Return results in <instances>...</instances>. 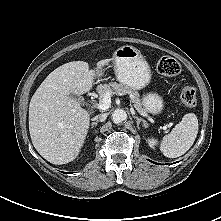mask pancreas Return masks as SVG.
Listing matches in <instances>:
<instances>
[{
  "mask_svg": "<svg viewBox=\"0 0 221 221\" xmlns=\"http://www.w3.org/2000/svg\"><path fill=\"white\" fill-rule=\"evenodd\" d=\"M97 92L100 98H103L107 92L111 95L120 94V95H129L130 100L134 103V107L141 112H147L146 109L142 106L139 93L132 89L129 86L123 85L121 83L110 82L108 84H100L97 87Z\"/></svg>",
  "mask_w": 221,
  "mask_h": 221,
  "instance_id": "cf45deb5",
  "label": "pancreas"
}]
</instances>
